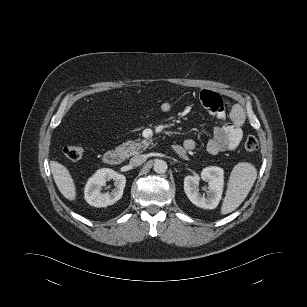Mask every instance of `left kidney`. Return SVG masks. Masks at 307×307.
Masks as SVG:
<instances>
[{
    "label": "left kidney",
    "instance_id": "5707ae66",
    "mask_svg": "<svg viewBox=\"0 0 307 307\" xmlns=\"http://www.w3.org/2000/svg\"><path fill=\"white\" fill-rule=\"evenodd\" d=\"M201 179L208 182L207 196L199 193V177L188 175L184 178V191L189 200L197 207L215 209L222 197L224 171L220 167H206L201 172Z\"/></svg>",
    "mask_w": 307,
    "mask_h": 307
}]
</instances>
